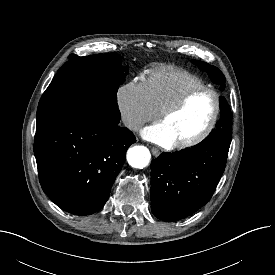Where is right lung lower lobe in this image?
Segmentation results:
<instances>
[{
	"label": "right lung lower lobe",
	"mask_w": 275,
	"mask_h": 275,
	"mask_svg": "<svg viewBox=\"0 0 275 275\" xmlns=\"http://www.w3.org/2000/svg\"><path fill=\"white\" fill-rule=\"evenodd\" d=\"M119 122L81 113L36 131L34 153L41 187L61 209L75 215L99 211L135 136Z\"/></svg>",
	"instance_id": "1"
}]
</instances>
